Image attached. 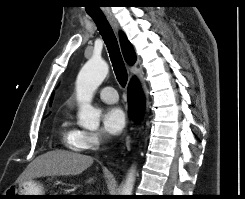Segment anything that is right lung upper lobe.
<instances>
[{
  "instance_id": "right-lung-upper-lobe-1",
  "label": "right lung upper lobe",
  "mask_w": 245,
  "mask_h": 199,
  "mask_svg": "<svg viewBox=\"0 0 245 199\" xmlns=\"http://www.w3.org/2000/svg\"><path fill=\"white\" fill-rule=\"evenodd\" d=\"M120 43L126 62L129 65H133L136 61L135 52L133 50L132 45L130 44V42L128 41L127 37L123 32H120Z\"/></svg>"
}]
</instances>
